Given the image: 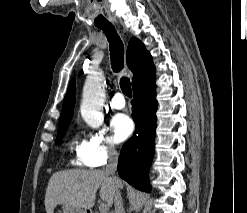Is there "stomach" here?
Returning a JSON list of instances; mask_svg holds the SVG:
<instances>
[{"label": "stomach", "mask_w": 247, "mask_h": 213, "mask_svg": "<svg viewBox=\"0 0 247 213\" xmlns=\"http://www.w3.org/2000/svg\"><path fill=\"white\" fill-rule=\"evenodd\" d=\"M63 213H88L87 209L76 208L68 205L62 206Z\"/></svg>", "instance_id": "1"}]
</instances>
